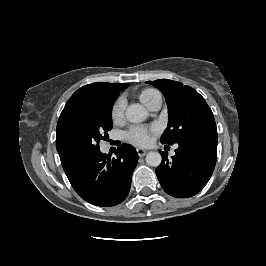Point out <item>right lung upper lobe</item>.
<instances>
[{"mask_svg":"<svg viewBox=\"0 0 266 266\" xmlns=\"http://www.w3.org/2000/svg\"><path fill=\"white\" fill-rule=\"evenodd\" d=\"M128 84L123 83H103L97 82L85 85L78 89L67 101L63 111L58 120L57 129L60 128L62 123L70 117L77 110L87 105L91 101L107 95H119L121 90H124ZM60 156V155H59ZM63 169L68 176H70L78 167L82 160H70L60 156Z\"/></svg>","mask_w":266,"mask_h":266,"instance_id":"right-lung-upper-lobe-1","label":"right lung upper lobe"}]
</instances>
